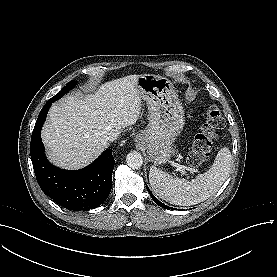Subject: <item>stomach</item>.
I'll use <instances>...</instances> for the list:
<instances>
[{"instance_id":"1","label":"stomach","mask_w":277,"mask_h":277,"mask_svg":"<svg viewBox=\"0 0 277 277\" xmlns=\"http://www.w3.org/2000/svg\"><path fill=\"white\" fill-rule=\"evenodd\" d=\"M137 86L149 110L148 128L137 135L149 159L156 165L165 164L173 154V143L182 132L183 109L171 81L163 76L143 74Z\"/></svg>"}]
</instances>
